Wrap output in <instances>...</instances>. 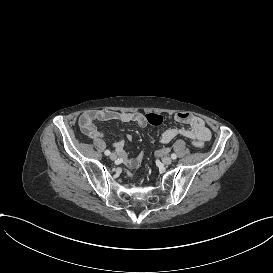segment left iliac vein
<instances>
[{"instance_id":"1","label":"left iliac vein","mask_w":273,"mask_h":273,"mask_svg":"<svg viewBox=\"0 0 273 273\" xmlns=\"http://www.w3.org/2000/svg\"><path fill=\"white\" fill-rule=\"evenodd\" d=\"M162 162H163L164 165L168 166V165H170L172 163V159L170 157H164L162 159Z\"/></svg>"}]
</instances>
